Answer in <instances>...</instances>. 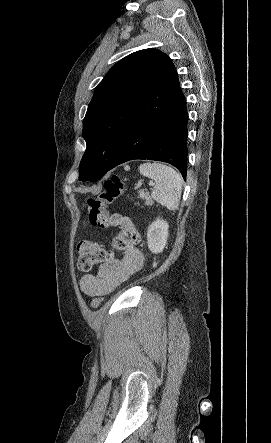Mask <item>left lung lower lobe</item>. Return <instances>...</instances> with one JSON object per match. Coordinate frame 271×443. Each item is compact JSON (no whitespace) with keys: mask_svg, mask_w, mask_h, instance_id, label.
Returning a JSON list of instances; mask_svg holds the SVG:
<instances>
[{"mask_svg":"<svg viewBox=\"0 0 271 443\" xmlns=\"http://www.w3.org/2000/svg\"><path fill=\"white\" fill-rule=\"evenodd\" d=\"M187 122L186 100L170 62L134 113L109 170L133 159L156 160L175 166L186 180Z\"/></svg>","mask_w":271,"mask_h":443,"instance_id":"1","label":"left lung lower lobe"}]
</instances>
